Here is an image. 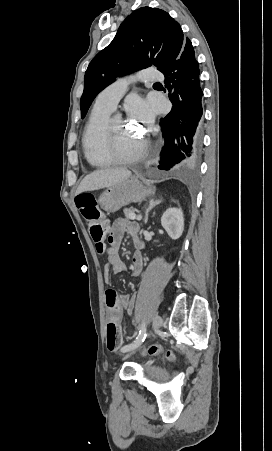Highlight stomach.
I'll return each mask as SVG.
<instances>
[{"label":"stomach","mask_w":272,"mask_h":451,"mask_svg":"<svg viewBox=\"0 0 272 451\" xmlns=\"http://www.w3.org/2000/svg\"><path fill=\"white\" fill-rule=\"evenodd\" d=\"M141 180H143L142 176L136 174V176H130V178H126L118 184L109 186L98 200L100 208L105 212H117L122 206H127L130 202H142L145 198L153 196L154 186L146 188L141 184Z\"/></svg>","instance_id":"0dacf381"}]
</instances>
